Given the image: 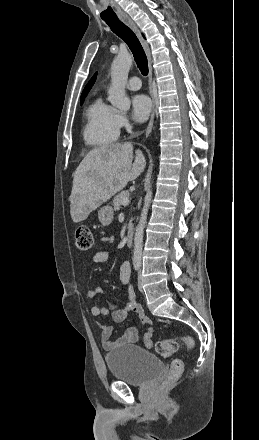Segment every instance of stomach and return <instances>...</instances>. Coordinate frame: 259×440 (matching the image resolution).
<instances>
[{
    "mask_svg": "<svg viewBox=\"0 0 259 440\" xmlns=\"http://www.w3.org/2000/svg\"><path fill=\"white\" fill-rule=\"evenodd\" d=\"M113 217L114 212L112 207L109 205L102 207L98 211V219L103 226H108L113 221Z\"/></svg>",
    "mask_w": 259,
    "mask_h": 440,
    "instance_id": "0dacf381",
    "label": "stomach"
}]
</instances>
